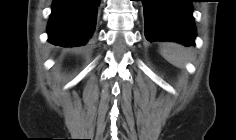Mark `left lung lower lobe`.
I'll return each mask as SVG.
<instances>
[{
  "label": "left lung lower lobe",
  "instance_id": "1",
  "mask_svg": "<svg viewBox=\"0 0 236 140\" xmlns=\"http://www.w3.org/2000/svg\"><path fill=\"white\" fill-rule=\"evenodd\" d=\"M193 0H142L145 37L148 41H174L195 44Z\"/></svg>",
  "mask_w": 236,
  "mask_h": 140
}]
</instances>
